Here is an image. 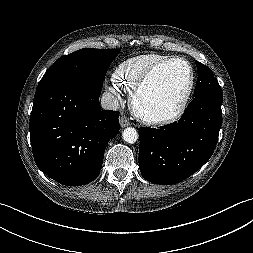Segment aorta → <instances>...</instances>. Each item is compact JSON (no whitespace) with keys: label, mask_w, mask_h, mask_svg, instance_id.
I'll return each mask as SVG.
<instances>
[{"label":"aorta","mask_w":253,"mask_h":253,"mask_svg":"<svg viewBox=\"0 0 253 253\" xmlns=\"http://www.w3.org/2000/svg\"><path fill=\"white\" fill-rule=\"evenodd\" d=\"M122 137L127 143L133 144L138 140V133L135 128L128 127L124 129Z\"/></svg>","instance_id":"aorta-1"}]
</instances>
